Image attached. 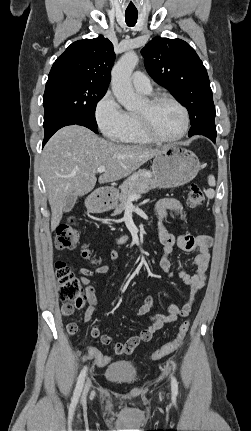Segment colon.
<instances>
[{"mask_svg": "<svg viewBox=\"0 0 251 431\" xmlns=\"http://www.w3.org/2000/svg\"><path fill=\"white\" fill-rule=\"evenodd\" d=\"M187 202L191 207H199L205 202L204 193L199 185L195 183L190 185ZM79 235V229L72 219L62 222L56 229V248L61 250L74 249L79 242ZM82 256L84 258H90V253L87 250H83ZM55 271L60 297L64 301L62 313L69 314L73 312L75 308H82L86 303V295L75 273L63 261L56 262ZM73 327L72 325L71 328ZM188 329L189 321H184L179 326L176 336L170 342L155 351L151 359L159 360L176 351L184 341ZM86 349V357L100 370H103L106 365L113 360V355L111 353L95 350L94 344H88Z\"/></svg>", "mask_w": 251, "mask_h": 431, "instance_id": "5ec220e1", "label": "colon"}]
</instances>
